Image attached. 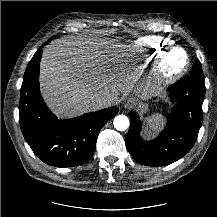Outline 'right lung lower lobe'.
<instances>
[{
	"label": "right lung lower lobe",
	"mask_w": 217,
	"mask_h": 217,
	"mask_svg": "<svg viewBox=\"0 0 217 217\" xmlns=\"http://www.w3.org/2000/svg\"><path fill=\"white\" fill-rule=\"evenodd\" d=\"M30 60L21 86L20 127L34 154L46 164L74 167L86 163L93 155L101 128L117 113V107L58 119L47 108L39 90L42 48Z\"/></svg>",
	"instance_id": "right-lung-lower-lobe-1"
}]
</instances>
